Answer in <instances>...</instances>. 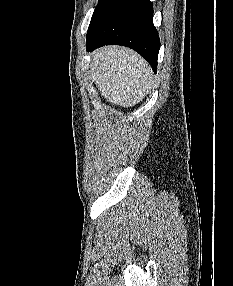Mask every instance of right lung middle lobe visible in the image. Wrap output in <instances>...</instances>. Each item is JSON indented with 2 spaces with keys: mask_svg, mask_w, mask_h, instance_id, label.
Wrapping results in <instances>:
<instances>
[{
  "mask_svg": "<svg viewBox=\"0 0 233 286\" xmlns=\"http://www.w3.org/2000/svg\"><path fill=\"white\" fill-rule=\"evenodd\" d=\"M103 0H99V3H98V5L102 2ZM97 8V7H96Z\"/></svg>",
  "mask_w": 233,
  "mask_h": 286,
  "instance_id": "obj_1",
  "label": "right lung middle lobe"
}]
</instances>
